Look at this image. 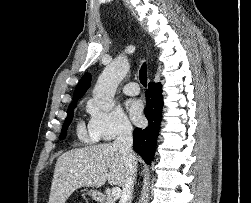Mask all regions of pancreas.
Here are the masks:
<instances>
[{"label":"pancreas","mask_w":251,"mask_h":203,"mask_svg":"<svg viewBox=\"0 0 251 203\" xmlns=\"http://www.w3.org/2000/svg\"><path fill=\"white\" fill-rule=\"evenodd\" d=\"M105 203H115V200L107 197Z\"/></svg>","instance_id":"cf45deb5"}]
</instances>
